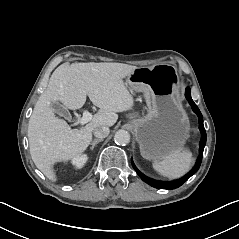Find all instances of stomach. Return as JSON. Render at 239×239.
<instances>
[{
	"instance_id": "obj_1",
	"label": "stomach",
	"mask_w": 239,
	"mask_h": 239,
	"mask_svg": "<svg viewBox=\"0 0 239 239\" xmlns=\"http://www.w3.org/2000/svg\"><path fill=\"white\" fill-rule=\"evenodd\" d=\"M130 90L142 92L147 115L131 120L143 158L159 162L180 152L189 137L190 122L179 93V77L153 67H141L125 78Z\"/></svg>"
}]
</instances>
